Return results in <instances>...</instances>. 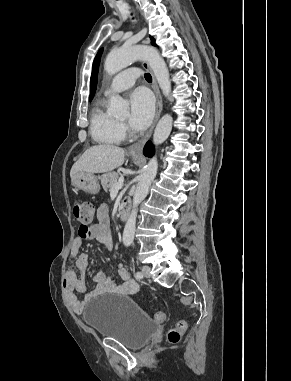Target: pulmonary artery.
I'll return each instance as SVG.
<instances>
[{
	"mask_svg": "<svg viewBox=\"0 0 291 381\" xmlns=\"http://www.w3.org/2000/svg\"><path fill=\"white\" fill-rule=\"evenodd\" d=\"M138 77L139 71L136 68L126 69L120 72L112 79L109 88L106 90V94L121 92L132 87Z\"/></svg>",
	"mask_w": 291,
	"mask_h": 381,
	"instance_id": "obj_1",
	"label": "pulmonary artery"
}]
</instances>
